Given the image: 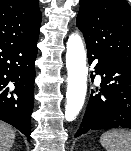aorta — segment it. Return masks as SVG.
<instances>
[{"label":"aorta","instance_id":"aorta-1","mask_svg":"<svg viewBox=\"0 0 131 151\" xmlns=\"http://www.w3.org/2000/svg\"><path fill=\"white\" fill-rule=\"evenodd\" d=\"M67 92L65 118L68 122L80 113L87 92L86 53L81 37L74 33L67 41L66 51Z\"/></svg>","mask_w":131,"mask_h":151}]
</instances>
